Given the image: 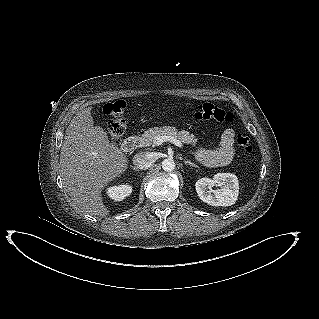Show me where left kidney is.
<instances>
[{
	"label": "left kidney",
	"instance_id": "5707ae66",
	"mask_svg": "<svg viewBox=\"0 0 319 319\" xmlns=\"http://www.w3.org/2000/svg\"><path fill=\"white\" fill-rule=\"evenodd\" d=\"M213 186L221 189L212 190ZM199 198L212 206H231L235 204L239 194V183L236 175L218 173L210 178H201L195 184Z\"/></svg>",
	"mask_w": 319,
	"mask_h": 319
}]
</instances>
